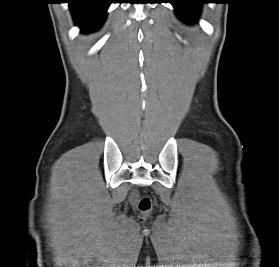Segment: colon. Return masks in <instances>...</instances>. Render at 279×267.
Here are the masks:
<instances>
[{
	"mask_svg": "<svg viewBox=\"0 0 279 267\" xmlns=\"http://www.w3.org/2000/svg\"><path fill=\"white\" fill-rule=\"evenodd\" d=\"M139 211L146 215L152 210V201L149 197L144 196L138 201Z\"/></svg>",
	"mask_w": 279,
	"mask_h": 267,
	"instance_id": "1",
	"label": "colon"
}]
</instances>
